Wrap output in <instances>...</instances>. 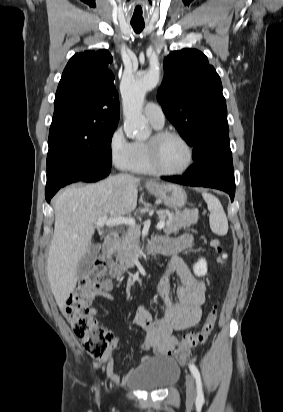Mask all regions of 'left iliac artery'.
Segmentation results:
<instances>
[{
    "label": "left iliac artery",
    "instance_id": "44dca946",
    "mask_svg": "<svg viewBox=\"0 0 283 412\" xmlns=\"http://www.w3.org/2000/svg\"><path fill=\"white\" fill-rule=\"evenodd\" d=\"M189 369L196 380V388H197V401H204L203 389H202V382L201 376L194 364H189Z\"/></svg>",
    "mask_w": 283,
    "mask_h": 412
}]
</instances>
